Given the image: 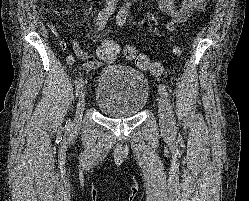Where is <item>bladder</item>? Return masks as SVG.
<instances>
[{
  "label": "bladder",
  "mask_w": 249,
  "mask_h": 201,
  "mask_svg": "<svg viewBox=\"0 0 249 201\" xmlns=\"http://www.w3.org/2000/svg\"><path fill=\"white\" fill-rule=\"evenodd\" d=\"M149 94L150 84L143 72L109 63L96 82L95 106L107 117L130 118L146 107Z\"/></svg>",
  "instance_id": "obj_1"
}]
</instances>
